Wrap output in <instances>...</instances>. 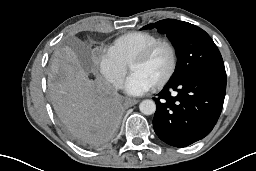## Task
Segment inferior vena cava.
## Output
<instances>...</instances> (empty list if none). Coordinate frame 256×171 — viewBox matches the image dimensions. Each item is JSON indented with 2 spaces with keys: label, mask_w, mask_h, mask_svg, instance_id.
I'll list each match as a JSON object with an SVG mask.
<instances>
[{
  "label": "inferior vena cava",
  "mask_w": 256,
  "mask_h": 171,
  "mask_svg": "<svg viewBox=\"0 0 256 171\" xmlns=\"http://www.w3.org/2000/svg\"><path fill=\"white\" fill-rule=\"evenodd\" d=\"M113 85L115 86V88L119 89L122 87L123 83L121 81H115Z\"/></svg>",
  "instance_id": "inferior-vena-cava-1"
}]
</instances>
